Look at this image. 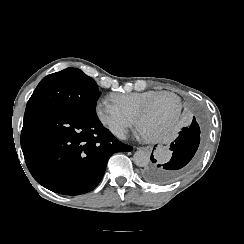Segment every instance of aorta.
I'll use <instances>...</instances> for the list:
<instances>
[{"label": "aorta", "mask_w": 244, "mask_h": 244, "mask_svg": "<svg viewBox=\"0 0 244 244\" xmlns=\"http://www.w3.org/2000/svg\"><path fill=\"white\" fill-rule=\"evenodd\" d=\"M134 163L139 167H145L150 162V153L145 150H138L133 155Z\"/></svg>", "instance_id": "aorta-1"}]
</instances>
